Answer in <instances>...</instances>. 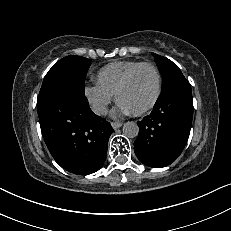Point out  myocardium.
<instances>
[{
  "label": "myocardium",
  "mask_w": 231,
  "mask_h": 231,
  "mask_svg": "<svg viewBox=\"0 0 231 231\" xmlns=\"http://www.w3.org/2000/svg\"><path fill=\"white\" fill-rule=\"evenodd\" d=\"M142 68H150L154 72L155 77H156V91H155V95H154L153 99L151 100V102L147 106H145L144 108H142L136 112H132V114L136 115V116H140V115H143V114L149 112L150 110H152L155 107V105L159 101V98H160L161 93H162V76H161V73H160L158 67L156 65H154L153 63H149V62L140 63L139 65L134 67L126 75V77L120 83V85L118 86V88L115 92V99L119 103L120 94L128 87V85L131 83L133 77Z\"/></svg>",
  "instance_id": "myocardium-1"
}]
</instances>
